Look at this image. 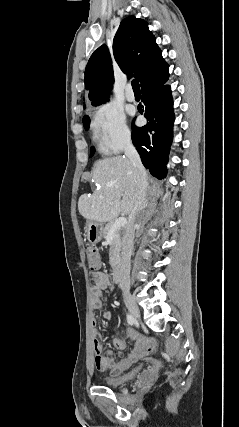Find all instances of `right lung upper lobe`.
<instances>
[{"mask_svg":"<svg viewBox=\"0 0 239 427\" xmlns=\"http://www.w3.org/2000/svg\"><path fill=\"white\" fill-rule=\"evenodd\" d=\"M113 54L124 73L134 72L141 86L168 71L154 35L147 22L135 16L123 19L113 39ZM114 81L112 61L106 45L91 55L85 69V86L90 89L92 105L108 100Z\"/></svg>","mask_w":239,"mask_h":427,"instance_id":"right-lung-upper-lobe-1","label":"right lung upper lobe"}]
</instances>
